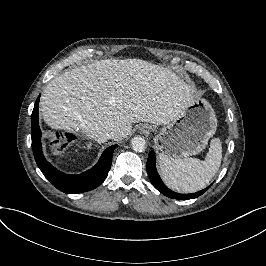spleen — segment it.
Returning a JSON list of instances; mask_svg holds the SVG:
<instances>
[{
	"label": "spleen",
	"instance_id": "spleen-1",
	"mask_svg": "<svg viewBox=\"0 0 266 266\" xmlns=\"http://www.w3.org/2000/svg\"><path fill=\"white\" fill-rule=\"evenodd\" d=\"M222 160L221 142L212 139L204 161L195 158H171L160 153L159 164L166 184L179 192H195L205 187L216 174Z\"/></svg>",
	"mask_w": 266,
	"mask_h": 266
}]
</instances>
